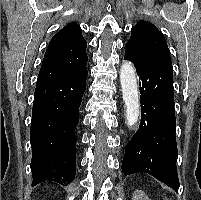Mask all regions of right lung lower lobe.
<instances>
[{
	"instance_id": "right-lung-lower-lobe-1",
	"label": "right lung lower lobe",
	"mask_w": 201,
	"mask_h": 200,
	"mask_svg": "<svg viewBox=\"0 0 201 200\" xmlns=\"http://www.w3.org/2000/svg\"><path fill=\"white\" fill-rule=\"evenodd\" d=\"M87 75L85 65L73 76L36 86L30 128L32 186L47 181L68 185L75 177L74 129Z\"/></svg>"
}]
</instances>
